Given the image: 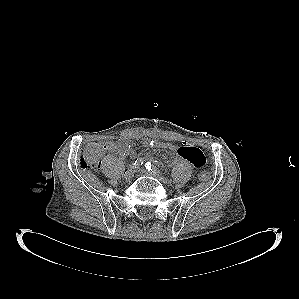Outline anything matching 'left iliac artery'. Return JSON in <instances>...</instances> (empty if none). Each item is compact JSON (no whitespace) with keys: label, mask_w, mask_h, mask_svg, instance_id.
I'll return each instance as SVG.
<instances>
[{"label":"left iliac artery","mask_w":299,"mask_h":299,"mask_svg":"<svg viewBox=\"0 0 299 299\" xmlns=\"http://www.w3.org/2000/svg\"><path fill=\"white\" fill-rule=\"evenodd\" d=\"M146 169L152 172L160 173L150 162H147L145 165Z\"/></svg>","instance_id":"obj_1"}]
</instances>
